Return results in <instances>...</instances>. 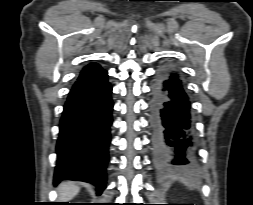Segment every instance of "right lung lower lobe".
Returning a JSON list of instances; mask_svg holds the SVG:
<instances>
[{"label":"right lung lower lobe","instance_id":"98d812e1","mask_svg":"<svg viewBox=\"0 0 253 205\" xmlns=\"http://www.w3.org/2000/svg\"><path fill=\"white\" fill-rule=\"evenodd\" d=\"M97 63L81 71L64 105L57 142L54 183L79 180L106 187V166L112 124V86Z\"/></svg>","mask_w":253,"mask_h":205}]
</instances>
